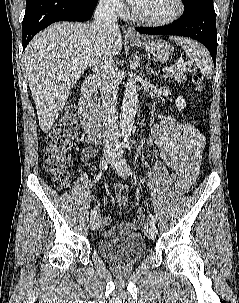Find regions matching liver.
<instances>
[{
  "label": "liver",
  "mask_w": 239,
  "mask_h": 303,
  "mask_svg": "<svg viewBox=\"0 0 239 303\" xmlns=\"http://www.w3.org/2000/svg\"><path fill=\"white\" fill-rule=\"evenodd\" d=\"M122 49L118 26L101 37L93 23H54L26 47L23 61L35 102L39 126L47 133L58 118L70 91L96 53L115 56Z\"/></svg>",
  "instance_id": "liver-1"
}]
</instances>
